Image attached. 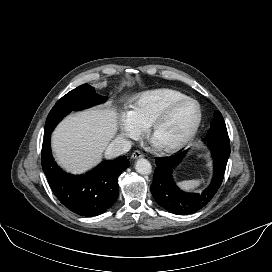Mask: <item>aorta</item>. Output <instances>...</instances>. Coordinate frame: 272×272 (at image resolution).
<instances>
[{"mask_svg": "<svg viewBox=\"0 0 272 272\" xmlns=\"http://www.w3.org/2000/svg\"><path fill=\"white\" fill-rule=\"evenodd\" d=\"M136 171L141 175H148L152 172V166L146 159H138L135 163Z\"/></svg>", "mask_w": 272, "mask_h": 272, "instance_id": "aorta-1", "label": "aorta"}]
</instances>
